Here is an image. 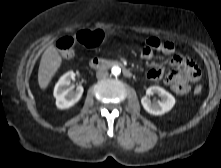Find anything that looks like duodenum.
<instances>
[{"label":"duodenum","instance_id":"duodenum-1","mask_svg":"<svg viewBox=\"0 0 221 168\" xmlns=\"http://www.w3.org/2000/svg\"><path fill=\"white\" fill-rule=\"evenodd\" d=\"M89 65L92 69H96V70L119 67L121 68L125 77L130 78L133 75L130 68H128L126 65H124L121 61H118V60H104L100 58H92L89 61Z\"/></svg>","mask_w":221,"mask_h":168}]
</instances>
